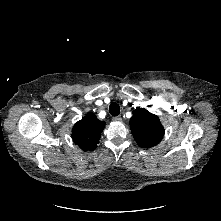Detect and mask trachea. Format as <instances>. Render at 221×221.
I'll list each match as a JSON object with an SVG mask.
<instances>
[{
  "mask_svg": "<svg viewBox=\"0 0 221 221\" xmlns=\"http://www.w3.org/2000/svg\"><path fill=\"white\" fill-rule=\"evenodd\" d=\"M109 112L112 116H118L120 114V107L117 103H112L109 106Z\"/></svg>",
  "mask_w": 221,
  "mask_h": 221,
  "instance_id": "trachea-1",
  "label": "trachea"
}]
</instances>
